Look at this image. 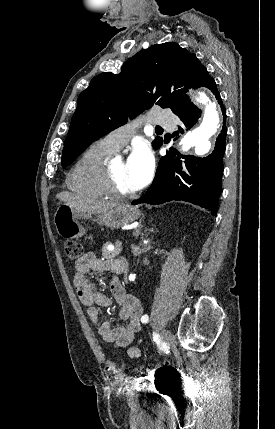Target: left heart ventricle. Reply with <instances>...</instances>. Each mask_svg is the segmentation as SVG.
<instances>
[{
  "label": "left heart ventricle",
  "instance_id": "obj_1",
  "mask_svg": "<svg viewBox=\"0 0 275 429\" xmlns=\"http://www.w3.org/2000/svg\"><path fill=\"white\" fill-rule=\"evenodd\" d=\"M125 163L126 162L123 160H117L110 164L111 170L113 172L118 187L124 192H133L135 190L131 187L128 181Z\"/></svg>",
  "mask_w": 275,
  "mask_h": 429
}]
</instances>
